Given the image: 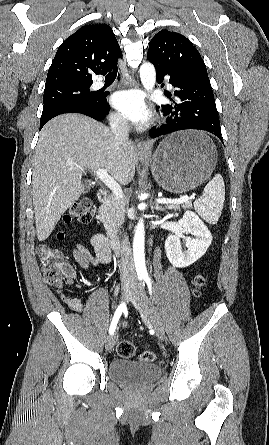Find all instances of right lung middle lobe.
Listing matches in <instances>:
<instances>
[{
  "label": "right lung middle lobe",
  "mask_w": 269,
  "mask_h": 445,
  "mask_svg": "<svg viewBox=\"0 0 269 445\" xmlns=\"http://www.w3.org/2000/svg\"><path fill=\"white\" fill-rule=\"evenodd\" d=\"M92 84L66 85L44 90V106L40 127L53 117L75 109H89L102 94L90 92Z\"/></svg>",
  "instance_id": "obj_1"
}]
</instances>
